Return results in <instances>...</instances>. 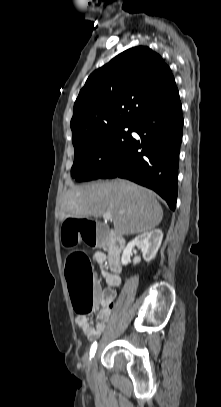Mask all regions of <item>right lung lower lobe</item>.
<instances>
[{
	"instance_id": "obj_1",
	"label": "right lung lower lobe",
	"mask_w": 221,
	"mask_h": 407,
	"mask_svg": "<svg viewBox=\"0 0 221 407\" xmlns=\"http://www.w3.org/2000/svg\"><path fill=\"white\" fill-rule=\"evenodd\" d=\"M141 141L132 139L121 158L100 178L121 177L157 192L174 210L183 115L177 88L134 124Z\"/></svg>"
}]
</instances>
